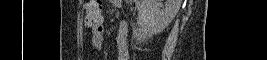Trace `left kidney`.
I'll return each mask as SVG.
<instances>
[{
  "label": "left kidney",
  "instance_id": "5707ae66",
  "mask_svg": "<svg viewBox=\"0 0 267 60\" xmlns=\"http://www.w3.org/2000/svg\"><path fill=\"white\" fill-rule=\"evenodd\" d=\"M144 0L138 8V19L153 34L162 32L179 11L181 0Z\"/></svg>",
  "mask_w": 267,
  "mask_h": 60
}]
</instances>
